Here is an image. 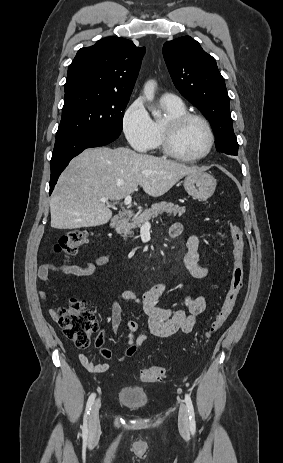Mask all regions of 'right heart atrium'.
<instances>
[{
    "label": "right heart atrium",
    "instance_id": "right-heart-atrium-1",
    "mask_svg": "<svg viewBox=\"0 0 283 463\" xmlns=\"http://www.w3.org/2000/svg\"><path fill=\"white\" fill-rule=\"evenodd\" d=\"M122 129L133 149L145 152L152 147L155 137L153 120L141 99L134 100L125 110Z\"/></svg>",
    "mask_w": 283,
    "mask_h": 463
}]
</instances>
